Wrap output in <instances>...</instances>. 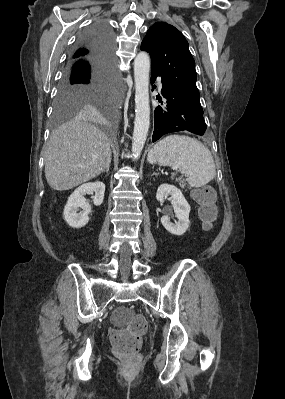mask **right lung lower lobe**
<instances>
[{
  "instance_id": "obj_1",
  "label": "right lung lower lobe",
  "mask_w": 285,
  "mask_h": 399,
  "mask_svg": "<svg viewBox=\"0 0 285 399\" xmlns=\"http://www.w3.org/2000/svg\"><path fill=\"white\" fill-rule=\"evenodd\" d=\"M87 46L92 53L73 59L70 56L63 79L81 85L114 84L115 80V39L111 27L97 22L83 32L79 46Z\"/></svg>"
}]
</instances>
